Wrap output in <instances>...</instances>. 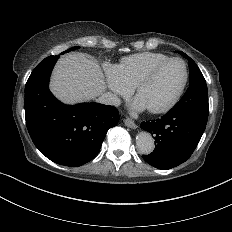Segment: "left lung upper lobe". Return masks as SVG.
Listing matches in <instances>:
<instances>
[{"label": "left lung upper lobe", "mask_w": 232, "mask_h": 232, "mask_svg": "<svg viewBox=\"0 0 232 232\" xmlns=\"http://www.w3.org/2000/svg\"><path fill=\"white\" fill-rule=\"evenodd\" d=\"M189 60V87L180 101L170 110L183 111L207 121L209 113L208 91L206 81L196 63L182 51H176Z\"/></svg>", "instance_id": "left-lung-upper-lobe-1"}]
</instances>
